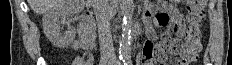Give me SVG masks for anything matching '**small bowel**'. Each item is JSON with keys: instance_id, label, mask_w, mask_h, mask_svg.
Segmentation results:
<instances>
[{"instance_id": "1", "label": "small bowel", "mask_w": 232, "mask_h": 65, "mask_svg": "<svg viewBox=\"0 0 232 65\" xmlns=\"http://www.w3.org/2000/svg\"><path fill=\"white\" fill-rule=\"evenodd\" d=\"M154 23L159 29H166L173 31L177 36L182 37L185 33V25L182 17L175 11L169 13L156 14L153 6H147L144 15V25L147 33V40L142 47V64L143 65H155L156 64V48L153 40L156 38V34L152 28V17ZM88 42L82 38L81 41L73 44L74 48L88 47ZM160 65H172L171 62H160Z\"/></svg>"}]
</instances>
